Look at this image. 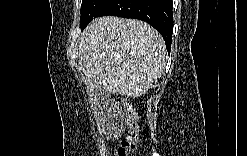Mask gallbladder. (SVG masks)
<instances>
[{"label":"gallbladder","mask_w":247,"mask_h":156,"mask_svg":"<svg viewBox=\"0 0 247 156\" xmlns=\"http://www.w3.org/2000/svg\"><path fill=\"white\" fill-rule=\"evenodd\" d=\"M95 92H100L97 87H94ZM108 93V92H105Z\"/></svg>","instance_id":"bac80fb5"}]
</instances>
